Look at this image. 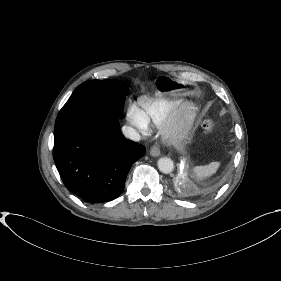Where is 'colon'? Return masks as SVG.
I'll return each instance as SVG.
<instances>
[{
  "label": "colon",
  "instance_id": "5ec220e1",
  "mask_svg": "<svg viewBox=\"0 0 281 281\" xmlns=\"http://www.w3.org/2000/svg\"><path fill=\"white\" fill-rule=\"evenodd\" d=\"M204 129L207 131V132H209V131H211L212 130V128H213V121L212 120H210V119H206L205 121H204Z\"/></svg>",
  "mask_w": 281,
  "mask_h": 281
}]
</instances>
